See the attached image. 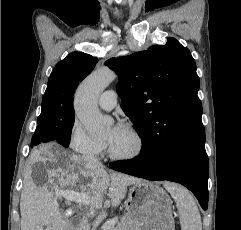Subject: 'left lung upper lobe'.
Segmentation results:
<instances>
[{
	"label": "left lung upper lobe",
	"instance_id": "obj_1",
	"mask_svg": "<svg viewBox=\"0 0 241 230\" xmlns=\"http://www.w3.org/2000/svg\"><path fill=\"white\" fill-rule=\"evenodd\" d=\"M106 65L120 75L121 108L142 144L205 142L202 104L197 96L199 77L189 49L168 38L165 45L111 58Z\"/></svg>",
	"mask_w": 241,
	"mask_h": 230
}]
</instances>
